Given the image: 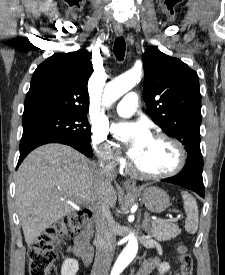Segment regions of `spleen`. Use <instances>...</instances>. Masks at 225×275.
<instances>
[{
	"label": "spleen",
	"mask_w": 225,
	"mask_h": 275,
	"mask_svg": "<svg viewBox=\"0 0 225 275\" xmlns=\"http://www.w3.org/2000/svg\"><path fill=\"white\" fill-rule=\"evenodd\" d=\"M184 201V210L187 215L185 229L190 234H195L198 229L199 213L197 202L194 197L186 191L181 192Z\"/></svg>",
	"instance_id": "3e777b00"
}]
</instances>
